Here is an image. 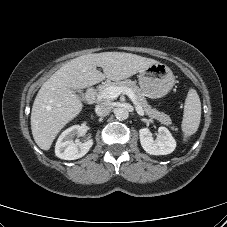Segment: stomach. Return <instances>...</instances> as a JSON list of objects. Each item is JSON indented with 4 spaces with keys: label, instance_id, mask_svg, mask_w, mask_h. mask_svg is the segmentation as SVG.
Segmentation results:
<instances>
[{
    "label": "stomach",
    "instance_id": "1",
    "mask_svg": "<svg viewBox=\"0 0 227 227\" xmlns=\"http://www.w3.org/2000/svg\"><path fill=\"white\" fill-rule=\"evenodd\" d=\"M138 80L143 94L153 99L165 96L174 85L171 69L159 62L141 70Z\"/></svg>",
    "mask_w": 227,
    "mask_h": 227
}]
</instances>
